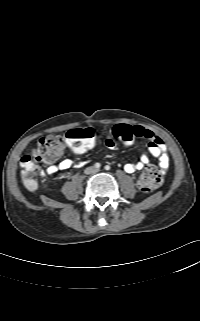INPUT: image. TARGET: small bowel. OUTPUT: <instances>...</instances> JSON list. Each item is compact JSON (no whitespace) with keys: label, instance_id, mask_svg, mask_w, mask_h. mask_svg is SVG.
<instances>
[{"label":"small bowel","instance_id":"small-bowel-1","mask_svg":"<svg viewBox=\"0 0 200 321\" xmlns=\"http://www.w3.org/2000/svg\"><path fill=\"white\" fill-rule=\"evenodd\" d=\"M133 128L138 132V137L148 140V153L143 154L137 162L126 163L124 165V170L130 174L142 170L149 163L150 156L158 160L159 166L162 171L167 170L169 166V156L167 153L166 145L163 142V140L149 129H145L141 126H134ZM106 146L109 149H115L117 145L113 139H108L106 141ZM61 155L62 152L54 159L46 162L48 166L45 170L42 171L43 175H52L58 172L59 170H67L73 166V161L68 158L61 159L56 164V162L60 159Z\"/></svg>","mask_w":200,"mask_h":321}]
</instances>
